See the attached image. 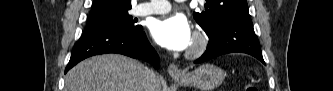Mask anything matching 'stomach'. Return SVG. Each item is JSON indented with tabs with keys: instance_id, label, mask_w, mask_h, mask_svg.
<instances>
[{
	"instance_id": "1",
	"label": "stomach",
	"mask_w": 333,
	"mask_h": 91,
	"mask_svg": "<svg viewBox=\"0 0 333 91\" xmlns=\"http://www.w3.org/2000/svg\"><path fill=\"white\" fill-rule=\"evenodd\" d=\"M224 78L225 73L221 68L212 64H204L175 80L181 86H192L200 91H212L222 84Z\"/></svg>"
}]
</instances>
